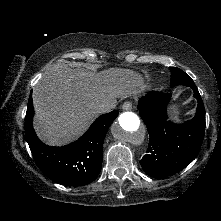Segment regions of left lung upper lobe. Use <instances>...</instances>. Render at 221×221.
Returning a JSON list of instances; mask_svg holds the SVG:
<instances>
[{"label": "left lung upper lobe", "mask_w": 221, "mask_h": 221, "mask_svg": "<svg viewBox=\"0 0 221 221\" xmlns=\"http://www.w3.org/2000/svg\"><path fill=\"white\" fill-rule=\"evenodd\" d=\"M170 71H171V86H177V85L189 86V83H193V80L184 71L175 67H170Z\"/></svg>", "instance_id": "left-lung-upper-lobe-1"}]
</instances>
